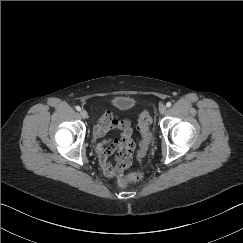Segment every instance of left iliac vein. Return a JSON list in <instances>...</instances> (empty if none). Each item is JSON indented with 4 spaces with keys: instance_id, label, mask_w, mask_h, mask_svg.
<instances>
[{
    "instance_id": "4c4485c4",
    "label": "left iliac vein",
    "mask_w": 243,
    "mask_h": 243,
    "mask_svg": "<svg viewBox=\"0 0 243 243\" xmlns=\"http://www.w3.org/2000/svg\"><path fill=\"white\" fill-rule=\"evenodd\" d=\"M166 110H167L166 106L162 105V106H160V108H159V113H160V114H164V113L166 112Z\"/></svg>"
}]
</instances>
